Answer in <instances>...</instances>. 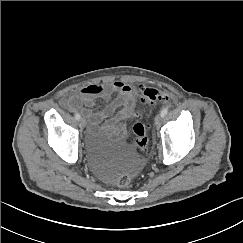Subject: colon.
Instances as JSON below:
<instances>
[{
    "label": "colon",
    "instance_id": "1",
    "mask_svg": "<svg viewBox=\"0 0 243 243\" xmlns=\"http://www.w3.org/2000/svg\"><path fill=\"white\" fill-rule=\"evenodd\" d=\"M136 89L141 103L145 106H155L171 100V94L169 92L146 86L142 83L138 84ZM132 113V118L135 122L132 128L134 145L140 152L151 154L154 151V146L149 140L151 137V124L148 121L142 120L143 111L141 107H134ZM130 183L131 176L127 173L121 174L116 180V185L119 188H126Z\"/></svg>",
    "mask_w": 243,
    "mask_h": 243
}]
</instances>
